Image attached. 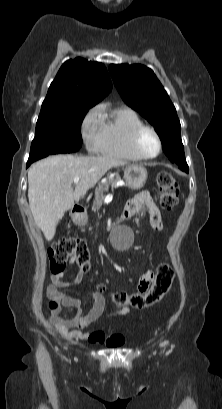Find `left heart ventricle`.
<instances>
[{"mask_svg":"<svg viewBox=\"0 0 222 409\" xmlns=\"http://www.w3.org/2000/svg\"><path fill=\"white\" fill-rule=\"evenodd\" d=\"M140 147L146 155H154L158 151V143L153 133L147 131L142 135Z\"/></svg>","mask_w":222,"mask_h":409,"instance_id":"1","label":"left heart ventricle"}]
</instances>
